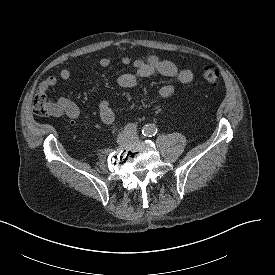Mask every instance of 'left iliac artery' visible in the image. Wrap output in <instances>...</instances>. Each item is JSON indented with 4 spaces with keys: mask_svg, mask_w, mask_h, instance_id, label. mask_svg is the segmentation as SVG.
<instances>
[{
    "mask_svg": "<svg viewBox=\"0 0 275 275\" xmlns=\"http://www.w3.org/2000/svg\"><path fill=\"white\" fill-rule=\"evenodd\" d=\"M157 132L158 129L154 124H147L142 128V134L146 137H153Z\"/></svg>",
    "mask_w": 275,
    "mask_h": 275,
    "instance_id": "44dca946",
    "label": "left iliac artery"
}]
</instances>
